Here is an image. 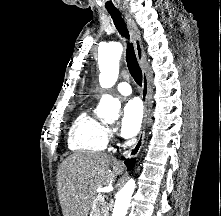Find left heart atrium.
Returning a JSON list of instances; mask_svg holds the SVG:
<instances>
[{
    "label": "left heart atrium",
    "mask_w": 221,
    "mask_h": 216,
    "mask_svg": "<svg viewBox=\"0 0 221 216\" xmlns=\"http://www.w3.org/2000/svg\"><path fill=\"white\" fill-rule=\"evenodd\" d=\"M143 110L136 99L129 100L123 107L120 123L121 135L125 138L134 136L140 129Z\"/></svg>",
    "instance_id": "obj_1"
}]
</instances>
